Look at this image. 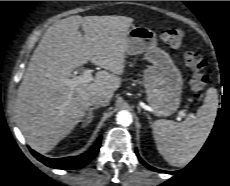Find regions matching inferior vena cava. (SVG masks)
I'll return each mask as SVG.
<instances>
[{"instance_id": "1", "label": "inferior vena cava", "mask_w": 230, "mask_h": 186, "mask_svg": "<svg viewBox=\"0 0 230 186\" xmlns=\"http://www.w3.org/2000/svg\"><path fill=\"white\" fill-rule=\"evenodd\" d=\"M110 104V98L104 94H95L90 99V105L105 107Z\"/></svg>"}]
</instances>
